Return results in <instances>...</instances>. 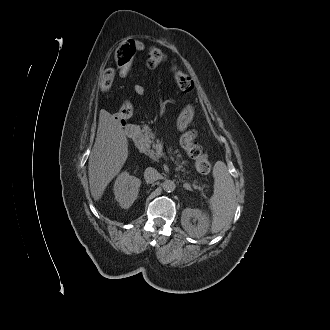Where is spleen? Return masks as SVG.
<instances>
[{
    "instance_id": "3e777b00",
    "label": "spleen",
    "mask_w": 330,
    "mask_h": 330,
    "mask_svg": "<svg viewBox=\"0 0 330 330\" xmlns=\"http://www.w3.org/2000/svg\"><path fill=\"white\" fill-rule=\"evenodd\" d=\"M214 194L209 199L212 211L211 232L218 233L231 220L236 208V192L226 164L217 161L213 167Z\"/></svg>"
}]
</instances>
